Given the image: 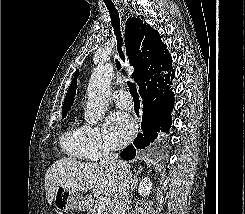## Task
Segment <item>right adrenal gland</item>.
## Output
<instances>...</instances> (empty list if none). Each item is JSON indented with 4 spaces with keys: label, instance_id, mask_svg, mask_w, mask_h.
Listing matches in <instances>:
<instances>
[{
    "label": "right adrenal gland",
    "instance_id": "obj_1",
    "mask_svg": "<svg viewBox=\"0 0 245 214\" xmlns=\"http://www.w3.org/2000/svg\"><path fill=\"white\" fill-rule=\"evenodd\" d=\"M138 173V172H137ZM136 173V174H137ZM130 174V184H131V189H134V187L137 184V179H136V174L133 175L132 171L129 173Z\"/></svg>",
    "mask_w": 245,
    "mask_h": 214
}]
</instances>
